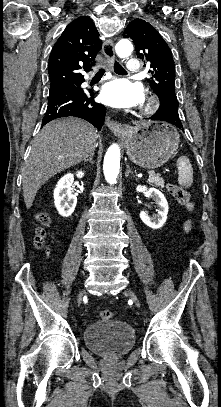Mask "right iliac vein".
Segmentation results:
<instances>
[{
    "label": "right iliac vein",
    "mask_w": 221,
    "mask_h": 407,
    "mask_svg": "<svg viewBox=\"0 0 221 407\" xmlns=\"http://www.w3.org/2000/svg\"><path fill=\"white\" fill-rule=\"evenodd\" d=\"M84 293H85V291H84L83 289H81V290L79 291L78 299H77L78 304H81L82 297H83Z\"/></svg>",
    "instance_id": "right-iliac-vein-1"
}]
</instances>
